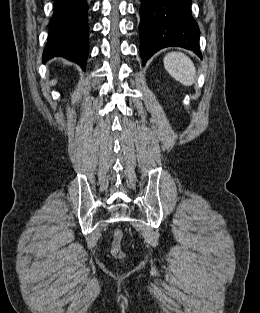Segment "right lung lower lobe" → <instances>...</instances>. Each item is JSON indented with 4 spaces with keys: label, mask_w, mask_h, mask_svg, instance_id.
I'll use <instances>...</instances> for the list:
<instances>
[{
    "label": "right lung lower lobe",
    "mask_w": 260,
    "mask_h": 313,
    "mask_svg": "<svg viewBox=\"0 0 260 313\" xmlns=\"http://www.w3.org/2000/svg\"><path fill=\"white\" fill-rule=\"evenodd\" d=\"M48 42L43 61L62 56L85 67L88 55L89 27L87 0H54Z\"/></svg>",
    "instance_id": "98d812e1"
}]
</instances>
